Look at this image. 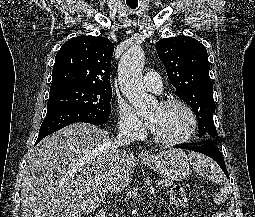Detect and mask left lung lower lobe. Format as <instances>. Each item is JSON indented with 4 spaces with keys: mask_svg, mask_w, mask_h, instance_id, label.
<instances>
[{
    "mask_svg": "<svg viewBox=\"0 0 255 217\" xmlns=\"http://www.w3.org/2000/svg\"><path fill=\"white\" fill-rule=\"evenodd\" d=\"M175 148L192 150V151L199 152L209 156L210 158H212L214 161H216L219 164L224 174L227 177H229L222 154L219 152V149L214 141L204 140L200 142L198 145H194V146L182 145V146H176Z\"/></svg>",
    "mask_w": 255,
    "mask_h": 217,
    "instance_id": "1",
    "label": "left lung lower lobe"
}]
</instances>
